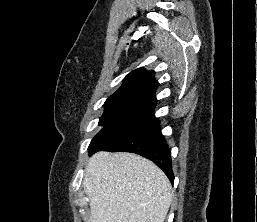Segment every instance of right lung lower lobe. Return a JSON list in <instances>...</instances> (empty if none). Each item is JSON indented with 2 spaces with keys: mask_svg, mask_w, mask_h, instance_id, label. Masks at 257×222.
<instances>
[{
  "mask_svg": "<svg viewBox=\"0 0 257 222\" xmlns=\"http://www.w3.org/2000/svg\"><path fill=\"white\" fill-rule=\"evenodd\" d=\"M97 151L139 154L153 161L164 171L171 183L174 182L170 148L161 134L159 120L155 116L108 144L89 152L91 155Z\"/></svg>",
  "mask_w": 257,
  "mask_h": 222,
  "instance_id": "1",
  "label": "right lung lower lobe"
}]
</instances>
